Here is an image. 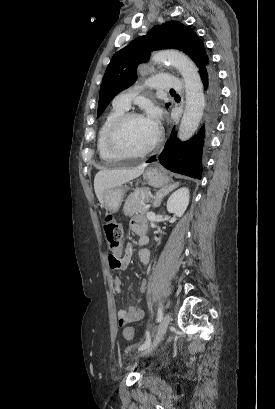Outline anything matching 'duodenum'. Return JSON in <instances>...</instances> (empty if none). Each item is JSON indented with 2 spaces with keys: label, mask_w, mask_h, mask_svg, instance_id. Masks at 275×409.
Here are the masks:
<instances>
[{
  "label": "duodenum",
  "mask_w": 275,
  "mask_h": 409,
  "mask_svg": "<svg viewBox=\"0 0 275 409\" xmlns=\"http://www.w3.org/2000/svg\"><path fill=\"white\" fill-rule=\"evenodd\" d=\"M135 231L138 233V234H144L145 232H146V224H144V223H141V224H138L136 227H135Z\"/></svg>",
  "instance_id": "duodenum-1"
}]
</instances>
